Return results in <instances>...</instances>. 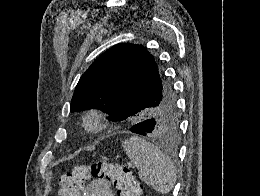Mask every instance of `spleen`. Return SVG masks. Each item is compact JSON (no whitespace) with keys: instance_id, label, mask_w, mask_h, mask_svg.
I'll use <instances>...</instances> for the list:
<instances>
[{"instance_id":"3e777b00","label":"spleen","mask_w":260,"mask_h":196,"mask_svg":"<svg viewBox=\"0 0 260 196\" xmlns=\"http://www.w3.org/2000/svg\"><path fill=\"white\" fill-rule=\"evenodd\" d=\"M130 162L139 170V178L159 194H168L176 182V168L160 148L140 136H131L121 142Z\"/></svg>"}]
</instances>
